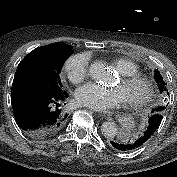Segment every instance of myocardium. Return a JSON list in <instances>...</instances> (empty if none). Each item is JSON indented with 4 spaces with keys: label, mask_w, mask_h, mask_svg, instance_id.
Returning a JSON list of instances; mask_svg holds the SVG:
<instances>
[{
    "label": "myocardium",
    "mask_w": 177,
    "mask_h": 177,
    "mask_svg": "<svg viewBox=\"0 0 177 177\" xmlns=\"http://www.w3.org/2000/svg\"><path fill=\"white\" fill-rule=\"evenodd\" d=\"M120 80L122 83L139 84L143 87V94L138 98L127 99L126 104L132 108H138L146 104L153 95L152 82L140 74L135 75H121Z\"/></svg>",
    "instance_id": "f54148a6"
}]
</instances>
